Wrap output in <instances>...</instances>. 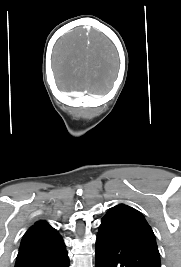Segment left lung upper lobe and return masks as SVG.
<instances>
[{
  "mask_svg": "<svg viewBox=\"0 0 181 267\" xmlns=\"http://www.w3.org/2000/svg\"><path fill=\"white\" fill-rule=\"evenodd\" d=\"M99 228L114 230L159 254L151 227L143 215L132 207L124 204L112 207Z\"/></svg>",
  "mask_w": 181,
  "mask_h": 267,
  "instance_id": "1",
  "label": "left lung upper lobe"
}]
</instances>
